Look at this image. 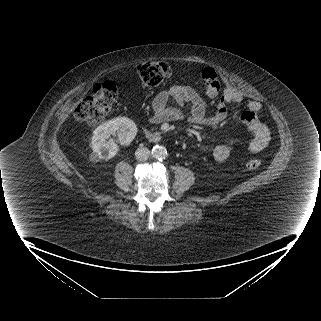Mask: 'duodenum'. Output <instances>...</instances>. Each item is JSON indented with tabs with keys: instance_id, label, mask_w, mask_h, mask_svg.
Here are the masks:
<instances>
[{
	"instance_id": "1",
	"label": "duodenum",
	"mask_w": 321,
	"mask_h": 321,
	"mask_svg": "<svg viewBox=\"0 0 321 321\" xmlns=\"http://www.w3.org/2000/svg\"><path fill=\"white\" fill-rule=\"evenodd\" d=\"M145 135L147 139L151 142H158L161 139V136L159 133L148 129H145Z\"/></svg>"
}]
</instances>
